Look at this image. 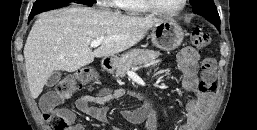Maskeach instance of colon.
<instances>
[{
  "label": "colon",
  "mask_w": 257,
  "mask_h": 130,
  "mask_svg": "<svg viewBox=\"0 0 257 130\" xmlns=\"http://www.w3.org/2000/svg\"><path fill=\"white\" fill-rule=\"evenodd\" d=\"M191 41L195 48L202 50L208 46L209 37L200 29H195L191 33ZM97 78V74L93 69H81L61 79L57 84L56 93L69 96L83 87H91L97 81ZM198 88L202 93H210L216 89V66L215 60L211 57H204L201 60ZM43 117L51 130L70 129L69 119L62 113H44Z\"/></svg>",
  "instance_id": "colon-1"
}]
</instances>
